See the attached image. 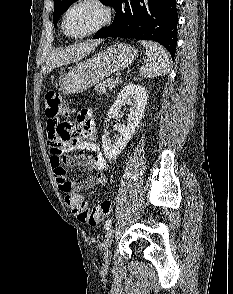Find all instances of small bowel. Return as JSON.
Returning <instances> with one entry per match:
<instances>
[{
  "label": "small bowel",
  "mask_w": 233,
  "mask_h": 294,
  "mask_svg": "<svg viewBox=\"0 0 233 294\" xmlns=\"http://www.w3.org/2000/svg\"><path fill=\"white\" fill-rule=\"evenodd\" d=\"M66 110H57L54 117H48L47 139L51 149L50 164L59 189L62 192L78 193L103 184L107 181L104 174L106 160L96 141V127L91 109H82L77 122L66 120ZM88 151L87 154L68 155L70 152ZM68 167H82L95 174L82 181L67 178Z\"/></svg>",
  "instance_id": "obj_1"
}]
</instances>
